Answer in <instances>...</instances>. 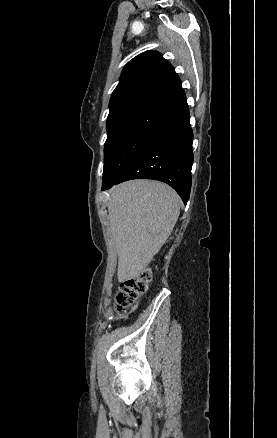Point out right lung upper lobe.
I'll list each match as a JSON object with an SVG mask.
<instances>
[{"mask_svg":"<svg viewBox=\"0 0 277 438\" xmlns=\"http://www.w3.org/2000/svg\"><path fill=\"white\" fill-rule=\"evenodd\" d=\"M184 97L180 79L170 63L160 53L146 51L123 69L110 99L108 118L168 111Z\"/></svg>","mask_w":277,"mask_h":438,"instance_id":"cb5924a9","label":"right lung upper lobe"}]
</instances>
